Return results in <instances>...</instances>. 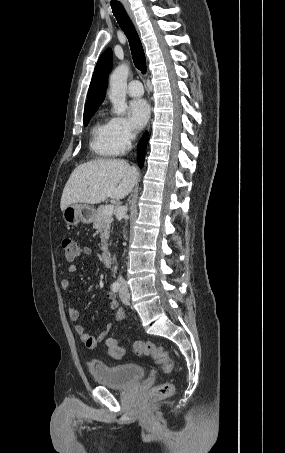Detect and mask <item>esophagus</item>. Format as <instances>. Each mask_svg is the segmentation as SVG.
Masks as SVG:
<instances>
[{"label": "esophagus", "instance_id": "esophagus-1", "mask_svg": "<svg viewBox=\"0 0 285 453\" xmlns=\"http://www.w3.org/2000/svg\"><path fill=\"white\" fill-rule=\"evenodd\" d=\"M122 1H123V4H124V6H125V8H126L127 12H128V13H129V15H130V16L132 17V14H131V12H130V9H129V6H128V4L126 3V1H125V0H122Z\"/></svg>", "mask_w": 285, "mask_h": 453}]
</instances>
